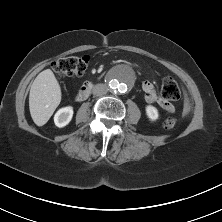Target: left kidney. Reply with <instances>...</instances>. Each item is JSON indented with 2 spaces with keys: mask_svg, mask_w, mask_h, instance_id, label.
<instances>
[{
  "mask_svg": "<svg viewBox=\"0 0 222 222\" xmlns=\"http://www.w3.org/2000/svg\"><path fill=\"white\" fill-rule=\"evenodd\" d=\"M146 114L151 121H156L159 118L158 110L152 105L146 106Z\"/></svg>",
  "mask_w": 222,
  "mask_h": 222,
  "instance_id": "obj_1",
  "label": "left kidney"
}]
</instances>
